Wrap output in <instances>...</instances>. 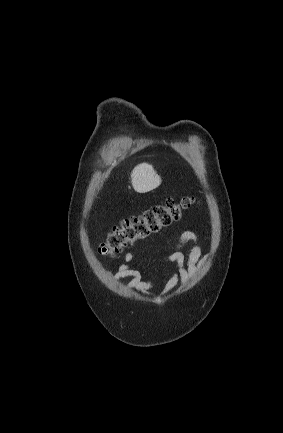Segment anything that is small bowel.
Masks as SVG:
<instances>
[{"instance_id":"c3829d8e","label":"small bowel","mask_w":283,"mask_h":433,"mask_svg":"<svg viewBox=\"0 0 283 433\" xmlns=\"http://www.w3.org/2000/svg\"><path fill=\"white\" fill-rule=\"evenodd\" d=\"M191 246L188 256H185L182 249ZM202 248L199 242L198 235L193 231H184L179 236L174 248L169 252L167 260L175 265L168 281L165 284L162 295L170 293L178 284H186L192 277L195 276L198 268L204 263L205 258L201 259ZM135 256L134 253L128 252L124 256L122 263L113 274L115 280L122 278H130L128 288L136 290L142 294L152 296L151 289L155 284L154 279L144 280L139 270H137L132 262ZM157 298H160L158 296Z\"/></svg>"}]
</instances>
